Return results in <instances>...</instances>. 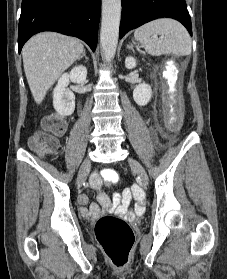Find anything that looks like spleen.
I'll list each match as a JSON object with an SVG mask.
<instances>
[{"instance_id":"3e777b00","label":"spleen","mask_w":227,"mask_h":279,"mask_svg":"<svg viewBox=\"0 0 227 279\" xmlns=\"http://www.w3.org/2000/svg\"><path fill=\"white\" fill-rule=\"evenodd\" d=\"M134 37L151 55L191 54V39L187 30L172 19H158L147 23L135 30Z\"/></svg>"}]
</instances>
